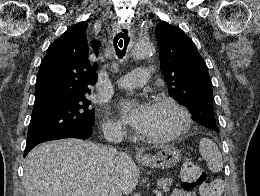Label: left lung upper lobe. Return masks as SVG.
I'll return each mask as SVG.
<instances>
[{"label":"left lung upper lobe","mask_w":260,"mask_h":196,"mask_svg":"<svg viewBox=\"0 0 260 196\" xmlns=\"http://www.w3.org/2000/svg\"><path fill=\"white\" fill-rule=\"evenodd\" d=\"M161 72L169 95L191 113L203 106L213 107L207 66L193 41L178 27L161 21L156 26ZM219 131L216 122L205 126Z\"/></svg>","instance_id":"left-lung-upper-lobe-1"}]
</instances>
